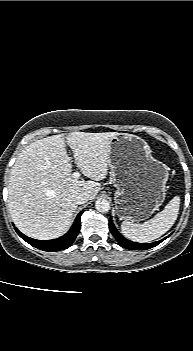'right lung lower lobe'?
Masks as SVG:
<instances>
[{"label": "right lung lower lobe", "instance_id": "obj_1", "mask_svg": "<svg viewBox=\"0 0 193 351\" xmlns=\"http://www.w3.org/2000/svg\"><path fill=\"white\" fill-rule=\"evenodd\" d=\"M83 212H80L71 229L66 233L64 236L54 239V240H47V241H41V240H36L32 239L30 237L25 236L22 234L17 228H15L16 232L18 235L25 240L27 243L32 245L33 247H36L40 250L43 251H49V252H55V251H60L67 249L71 244L74 242L76 236L79 233L80 230V217Z\"/></svg>", "mask_w": 193, "mask_h": 351}]
</instances>
